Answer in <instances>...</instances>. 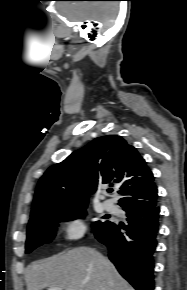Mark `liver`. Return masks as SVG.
<instances>
[{
	"instance_id": "6515ba94",
	"label": "liver",
	"mask_w": 187,
	"mask_h": 290,
	"mask_svg": "<svg viewBox=\"0 0 187 290\" xmlns=\"http://www.w3.org/2000/svg\"><path fill=\"white\" fill-rule=\"evenodd\" d=\"M27 290H134L100 252L78 247L37 261L25 274Z\"/></svg>"
}]
</instances>
